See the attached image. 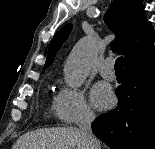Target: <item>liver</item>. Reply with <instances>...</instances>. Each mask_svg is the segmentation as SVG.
<instances>
[{
	"instance_id": "1",
	"label": "liver",
	"mask_w": 155,
	"mask_h": 149,
	"mask_svg": "<svg viewBox=\"0 0 155 149\" xmlns=\"http://www.w3.org/2000/svg\"><path fill=\"white\" fill-rule=\"evenodd\" d=\"M87 149L85 137L76 127L39 129L22 135L12 149Z\"/></svg>"
}]
</instances>
